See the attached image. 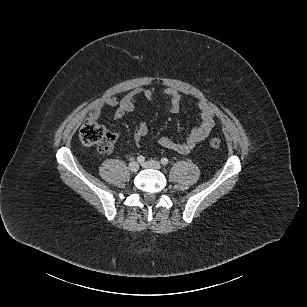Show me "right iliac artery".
<instances>
[{
	"label": "right iliac artery",
	"instance_id": "obj_1",
	"mask_svg": "<svg viewBox=\"0 0 307 307\" xmlns=\"http://www.w3.org/2000/svg\"><path fill=\"white\" fill-rule=\"evenodd\" d=\"M144 161H145V157L144 156L140 155V156L137 157V162L138 163L142 164V163H144Z\"/></svg>",
	"mask_w": 307,
	"mask_h": 307
}]
</instances>
